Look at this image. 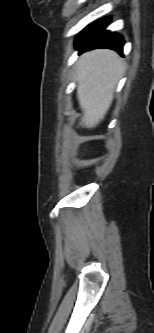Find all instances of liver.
Segmentation results:
<instances>
[{
	"instance_id": "6515ba94",
	"label": "liver",
	"mask_w": 154,
	"mask_h": 333,
	"mask_svg": "<svg viewBox=\"0 0 154 333\" xmlns=\"http://www.w3.org/2000/svg\"><path fill=\"white\" fill-rule=\"evenodd\" d=\"M124 70V61L111 50H94L79 58L76 80L77 98L83 112L81 126L94 128L104 119Z\"/></svg>"
}]
</instances>
